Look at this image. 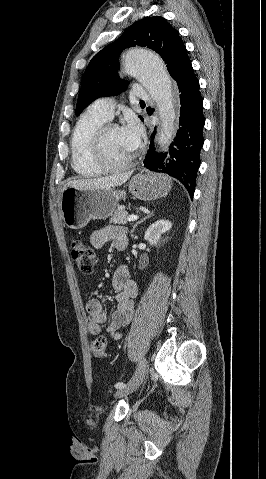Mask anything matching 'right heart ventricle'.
Returning <instances> with one entry per match:
<instances>
[{
    "label": "right heart ventricle",
    "instance_id": "right-heart-ventricle-1",
    "mask_svg": "<svg viewBox=\"0 0 266 479\" xmlns=\"http://www.w3.org/2000/svg\"><path fill=\"white\" fill-rule=\"evenodd\" d=\"M106 119L90 109L77 122L71 138L72 167L82 177H97L104 173L91 158V143L95 131Z\"/></svg>",
    "mask_w": 266,
    "mask_h": 479
}]
</instances>
